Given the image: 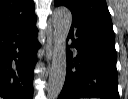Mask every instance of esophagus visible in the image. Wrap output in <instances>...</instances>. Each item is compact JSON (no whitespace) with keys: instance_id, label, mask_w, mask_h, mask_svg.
Returning a JSON list of instances; mask_svg holds the SVG:
<instances>
[{"instance_id":"esophagus-1","label":"esophagus","mask_w":128,"mask_h":99,"mask_svg":"<svg viewBox=\"0 0 128 99\" xmlns=\"http://www.w3.org/2000/svg\"><path fill=\"white\" fill-rule=\"evenodd\" d=\"M55 49V32L52 30L48 43L44 47L47 61H50Z\"/></svg>"}]
</instances>
